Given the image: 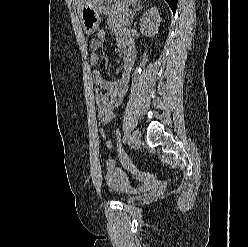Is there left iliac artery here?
<instances>
[{"instance_id": "obj_1", "label": "left iliac artery", "mask_w": 248, "mask_h": 247, "mask_svg": "<svg viewBox=\"0 0 248 247\" xmlns=\"http://www.w3.org/2000/svg\"><path fill=\"white\" fill-rule=\"evenodd\" d=\"M129 137V134L127 133L124 137V142L126 141V139Z\"/></svg>"}]
</instances>
